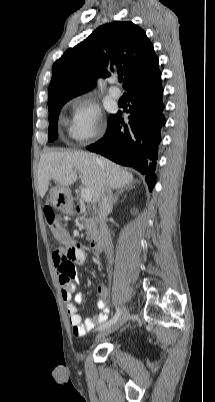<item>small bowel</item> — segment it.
Returning a JSON list of instances; mask_svg holds the SVG:
<instances>
[{
	"instance_id": "obj_1",
	"label": "small bowel",
	"mask_w": 215,
	"mask_h": 402,
	"mask_svg": "<svg viewBox=\"0 0 215 402\" xmlns=\"http://www.w3.org/2000/svg\"><path fill=\"white\" fill-rule=\"evenodd\" d=\"M66 234V233H65ZM67 235V234H66ZM72 247L69 250L60 247L53 252V262L58 271L59 284L61 289V296L67 304V312L69 314V321L72 326V331L75 336H83L86 332L91 331L97 324H104L109 317V308L107 306L106 297L108 289L104 284L97 287L98 300L97 307L99 313L87 318L84 322L78 312V306L83 301L81 294H75L76 284L79 280L78 273L75 265L83 264L86 258L83 247L71 243ZM70 264L72 270L70 272L64 271V267Z\"/></svg>"
}]
</instances>
